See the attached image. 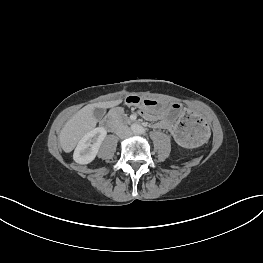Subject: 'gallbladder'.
<instances>
[{
  "instance_id": "obj_1",
  "label": "gallbladder",
  "mask_w": 263,
  "mask_h": 263,
  "mask_svg": "<svg viewBox=\"0 0 263 263\" xmlns=\"http://www.w3.org/2000/svg\"><path fill=\"white\" fill-rule=\"evenodd\" d=\"M105 115V110L103 108H95L94 116L97 120H101Z\"/></svg>"
}]
</instances>
